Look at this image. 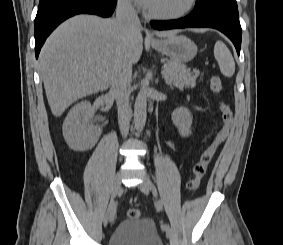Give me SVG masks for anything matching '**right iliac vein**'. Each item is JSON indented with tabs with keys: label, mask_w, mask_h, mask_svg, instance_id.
Instances as JSON below:
<instances>
[{
	"label": "right iliac vein",
	"mask_w": 283,
	"mask_h": 245,
	"mask_svg": "<svg viewBox=\"0 0 283 245\" xmlns=\"http://www.w3.org/2000/svg\"><path fill=\"white\" fill-rule=\"evenodd\" d=\"M120 190H121V176L118 173L116 175L114 181H113V184H112V190H111L112 198H115L120 193ZM111 221H112L111 220V209L109 207L105 216H104L103 225L107 226V224Z\"/></svg>",
	"instance_id": "63e3f726"
}]
</instances>
